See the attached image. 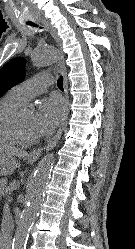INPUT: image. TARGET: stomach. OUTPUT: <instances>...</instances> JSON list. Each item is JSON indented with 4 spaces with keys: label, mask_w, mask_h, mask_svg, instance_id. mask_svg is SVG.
<instances>
[{
    "label": "stomach",
    "mask_w": 135,
    "mask_h": 249,
    "mask_svg": "<svg viewBox=\"0 0 135 249\" xmlns=\"http://www.w3.org/2000/svg\"><path fill=\"white\" fill-rule=\"evenodd\" d=\"M17 167V161L14 156L0 150V176H7Z\"/></svg>",
    "instance_id": "1"
}]
</instances>
